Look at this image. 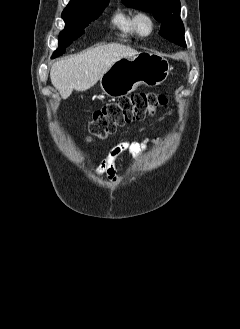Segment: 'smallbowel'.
<instances>
[{"label": "small bowel", "mask_w": 240, "mask_h": 329, "mask_svg": "<svg viewBox=\"0 0 240 329\" xmlns=\"http://www.w3.org/2000/svg\"><path fill=\"white\" fill-rule=\"evenodd\" d=\"M148 140L138 142V141H122L117 143L111 148L108 155L96 165L94 172L98 175L106 174L108 179L112 182H118L119 178L116 171V160L120 155L125 152H129L137 157H139L146 148V142ZM151 141L156 144L162 145L163 141L161 139H152Z\"/></svg>", "instance_id": "obj_1"}]
</instances>
